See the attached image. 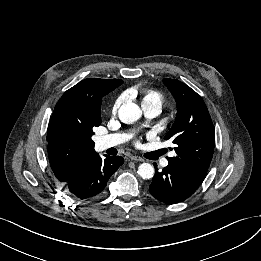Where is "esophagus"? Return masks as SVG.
<instances>
[{
    "label": "esophagus",
    "mask_w": 261,
    "mask_h": 261,
    "mask_svg": "<svg viewBox=\"0 0 261 261\" xmlns=\"http://www.w3.org/2000/svg\"><path fill=\"white\" fill-rule=\"evenodd\" d=\"M130 159L133 161H140V162H144V159L140 156H136V155H132L130 156Z\"/></svg>",
    "instance_id": "1"
}]
</instances>
